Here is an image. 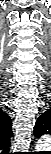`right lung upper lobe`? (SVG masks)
Returning a JSON list of instances; mask_svg holds the SVG:
<instances>
[{
    "label": "right lung upper lobe",
    "instance_id": "cb5924a9",
    "mask_svg": "<svg viewBox=\"0 0 51 154\" xmlns=\"http://www.w3.org/2000/svg\"><path fill=\"white\" fill-rule=\"evenodd\" d=\"M2 116H3V120H4V122H5V125H6V127H7V132H10L11 131V126H12V122H11V118L8 116V115H6L5 113H3L2 112Z\"/></svg>",
    "mask_w": 51,
    "mask_h": 154
}]
</instances>
